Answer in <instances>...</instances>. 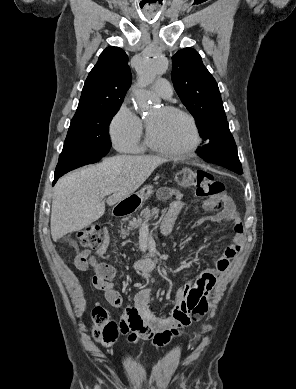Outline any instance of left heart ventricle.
I'll list each match as a JSON object with an SVG mask.
<instances>
[{"mask_svg": "<svg viewBox=\"0 0 296 389\" xmlns=\"http://www.w3.org/2000/svg\"><path fill=\"white\" fill-rule=\"evenodd\" d=\"M147 124L154 141L166 148L181 150L192 141L189 122L181 115L157 109L147 117Z\"/></svg>", "mask_w": 296, "mask_h": 389, "instance_id": "b2bd125f", "label": "left heart ventricle"}]
</instances>
